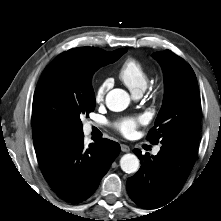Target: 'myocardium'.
<instances>
[{
  "label": "myocardium",
  "mask_w": 221,
  "mask_h": 221,
  "mask_svg": "<svg viewBox=\"0 0 221 221\" xmlns=\"http://www.w3.org/2000/svg\"><path fill=\"white\" fill-rule=\"evenodd\" d=\"M165 94V87L162 83L156 84L152 89V97L155 100L161 99Z\"/></svg>",
  "instance_id": "1"
}]
</instances>
